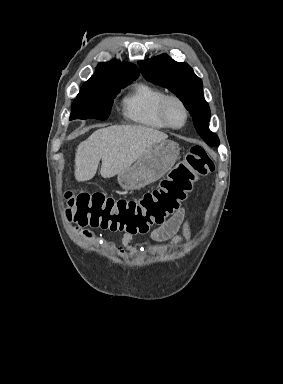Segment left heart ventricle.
Instances as JSON below:
<instances>
[{
	"instance_id": "obj_1",
	"label": "left heart ventricle",
	"mask_w": 283,
	"mask_h": 384,
	"mask_svg": "<svg viewBox=\"0 0 283 384\" xmlns=\"http://www.w3.org/2000/svg\"><path fill=\"white\" fill-rule=\"evenodd\" d=\"M167 115L170 123L174 126H181L184 122V112L180 105L176 102H171L169 104Z\"/></svg>"
}]
</instances>
